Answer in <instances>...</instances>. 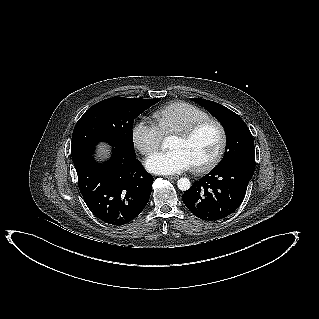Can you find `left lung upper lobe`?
I'll return each instance as SVG.
<instances>
[{"label":"left lung upper lobe","instance_id":"left-lung-upper-lobe-1","mask_svg":"<svg viewBox=\"0 0 319 319\" xmlns=\"http://www.w3.org/2000/svg\"><path fill=\"white\" fill-rule=\"evenodd\" d=\"M191 99L210 112L224 127L227 140L226 152L216 168L232 163L255 167L254 139L240 116L216 102L201 98Z\"/></svg>","mask_w":319,"mask_h":319}]
</instances>
